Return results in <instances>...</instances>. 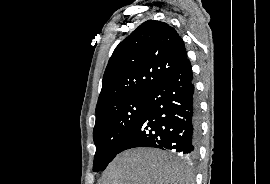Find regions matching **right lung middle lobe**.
Wrapping results in <instances>:
<instances>
[{
	"label": "right lung middle lobe",
	"mask_w": 270,
	"mask_h": 184,
	"mask_svg": "<svg viewBox=\"0 0 270 184\" xmlns=\"http://www.w3.org/2000/svg\"><path fill=\"white\" fill-rule=\"evenodd\" d=\"M147 105V96H135L106 107L96 118L93 139L96 153L93 171L104 170L118 154L124 140L134 129Z\"/></svg>",
	"instance_id": "dd1d6c3e"
}]
</instances>
